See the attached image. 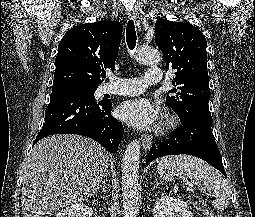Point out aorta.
Returning a JSON list of instances; mask_svg holds the SVG:
<instances>
[{"instance_id": "1", "label": "aorta", "mask_w": 255, "mask_h": 217, "mask_svg": "<svg viewBox=\"0 0 255 217\" xmlns=\"http://www.w3.org/2000/svg\"><path fill=\"white\" fill-rule=\"evenodd\" d=\"M135 58L142 64H157L160 53L152 48L141 47L135 51ZM141 145L138 140L131 141L122 160V196L126 217H137L140 205L139 159Z\"/></svg>"}]
</instances>
